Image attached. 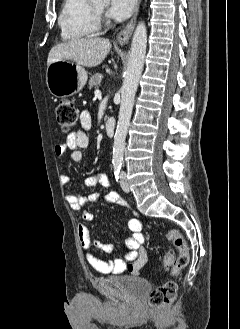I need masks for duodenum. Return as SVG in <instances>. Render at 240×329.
I'll use <instances>...</instances> for the list:
<instances>
[{"mask_svg":"<svg viewBox=\"0 0 240 329\" xmlns=\"http://www.w3.org/2000/svg\"><path fill=\"white\" fill-rule=\"evenodd\" d=\"M105 132L107 136L112 137L115 132V120L112 117H108L105 122Z\"/></svg>","mask_w":240,"mask_h":329,"instance_id":"1","label":"duodenum"}]
</instances>
